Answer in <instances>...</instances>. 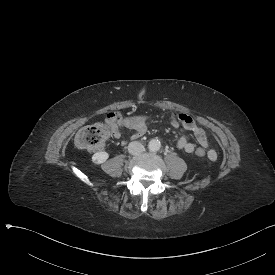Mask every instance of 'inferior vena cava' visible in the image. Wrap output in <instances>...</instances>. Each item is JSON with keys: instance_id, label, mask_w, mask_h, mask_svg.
I'll use <instances>...</instances> for the list:
<instances>
[{"instance_id": "inferior-vena-cava-1", "label": "inferior vena cava", "mask_w": 275, "mask_h": 275, "mask_svg": "<svg viewBox=\"0 0 275 275\" xmlns=\"http://www.w3.org/2000/svg\"><path fill=\"white\" fill-rule=\"evenodd\" d=\"M144 151V146L139 141L130 142L128 152L132 155H139Z\"/></svg>"}]
</instances>
